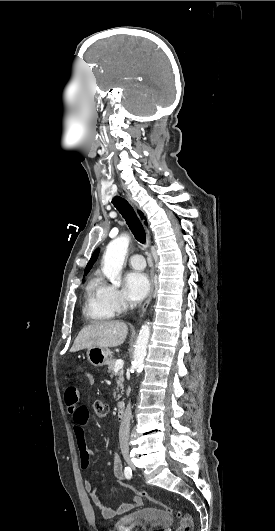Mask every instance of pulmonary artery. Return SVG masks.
<instances>
[{"label": "pulmonary artery", "instance_id": "1", "mask_svg": "<svg viewBox=\"0 0 275 531\" xmlns=\"http://www.w3.org/2000/svg\"><path fill=\"white\" fill-rule=\"evenodd\" d=\"M129 265L135 269H143L146 266L144 257L142 255L134 254L127 258Z\"/></svg>", "mask_w": 275, "mask_h": 531}]
</instances>
